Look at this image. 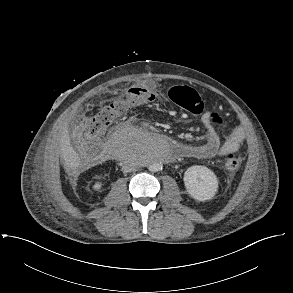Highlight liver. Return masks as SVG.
Here are the masks:
<instances>
[{"mask_svg":"<svg viewBox=\"0 0 293 293\" xmlns=\"http://www.w3.org/2000/svg\"><path fill=\"white\" fill-rule=\"evenodd\" d=\"M61 157L64 161V168L67 172L75 170L80 165V157L73 149L69 137L68 126L63 128L61 134Z\"/></svg>","mask_w":293,"mask_h":293,"instance_id":"1","label":"liver"}]
</instances>
